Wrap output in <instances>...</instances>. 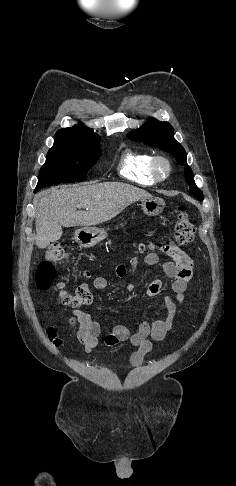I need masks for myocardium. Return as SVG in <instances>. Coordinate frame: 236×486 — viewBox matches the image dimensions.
Listing matches in <instances>:
<instances>
[{"mask_svg": "<svg viewBox=\"0 0 236 486\" xmlns=\"http://www.w3.org/2000/svg\"><path fill=\"white\" fill-rule=\"evenodd\" d=\"M164 167V173L161 172V167ZM172 172V166L169 159L162 155L153 156L150 162V173L152 177L161 182L169 178Z\"/></svg>", "mask_w": 236, "mask_h": 486, "instance_id": "myocardium-1", "label": "myocardium"}]
</instances>
